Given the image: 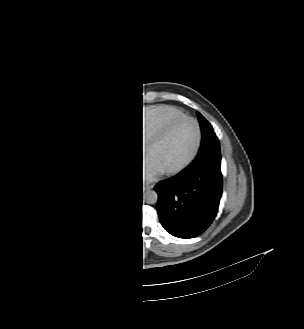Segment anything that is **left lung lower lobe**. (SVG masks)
Returning a JSON list of instances; mask_svg holds the SVG:
<instances>
[{
    "mask_svg": "<svg viewBox=\"0 0 304 329\" xmlns=\"http://www.w3.org/2000/svg\"><path fill=\"white\" fill-rule=\"evenodd\" d=\"M220 162L216 145L177 178L155 186L161 224L173 236L194 238L214 220L222 195Z\"/></svg>",
    "mask_w": 304,
    "mask_h": 329,
    "instance_id": "obj_1",
    "label": "left lung lower lobe"
}]
</instances>
